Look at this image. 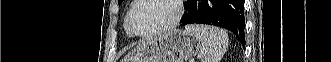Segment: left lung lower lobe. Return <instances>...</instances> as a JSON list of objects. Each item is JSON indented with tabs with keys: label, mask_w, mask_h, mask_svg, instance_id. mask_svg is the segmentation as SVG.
Instances as JSON below:
<instances>
[{
	"label": "left lung lower lobe",
	"mask_w": 331,
	"mask_h": 62,
	"mask_svg": "<svg viewBox=\"0 0 331 62\" xmlns=\"http://www.w3.org/2000/svg\"><path fill=\"white\" fill-rule=\"evenodd\" d=\"M188 12L181 25L202 23L232 31L245 47L244 2L242 0H187Z\"/></svg>",
	"instance_id": "1"
}]
</instances>
